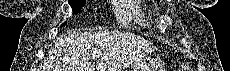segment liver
<instances>
[{"mask_svg":"<svg viewBox=\"0 0 230 71\" xmlns=\"http://www.w3.org/2000/svg\"><path fill=\"white\" fill-rule=\"evenodd\" d=\"M155 47L131 33L73 32L60 38L48 52L43 71H122Z\"/></svg>","mask_w":230,"mask_h":71,"instance_id":"liver-1","label":"liver"}]
</instances>
